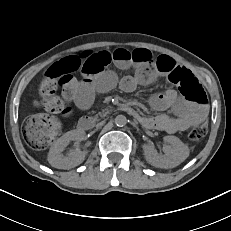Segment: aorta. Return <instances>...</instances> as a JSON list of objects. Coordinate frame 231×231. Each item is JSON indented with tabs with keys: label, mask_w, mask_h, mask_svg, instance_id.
Returning a JSON list of instances; mask_svg holds the SVG:
<instances>
[{
	"label": "aorta",
	"mask_w": 231,
	"mask_h": 231,
	"mask_svg": "<svg viewBox=\"0 0 231 231\" xmlns=\"http://www.w3.org/2000/svg\"><path fill=\"white\" fill-rule=\"evenodd\" d=\"M114 123L118 127H123V126H125L127 124V118L124 115H118V116L115 117Z\"/></svg>",
	"instance_id": "aorta-1"
}]
</instances>
